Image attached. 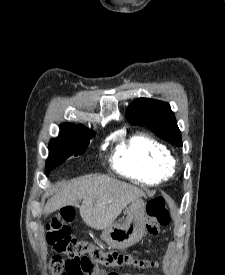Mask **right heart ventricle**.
Listing matches in <instances>:
<instances>
[{"label":"right heart ventricle","mask_w":225,"mask_h":275,"mask_svg":"<svg viewBox=\"0 0 225 275\" xmlns=\"http://www.w3.org/2000/svg\"><path fill=\"white\" fill-rule=\"evenodd\" d=\"M111 164L120 175L145 185L161 183L174 173L173 159L168 148L141 132L118 142Z\"/></svg>","instance_id":"right-heart-ventricle-1"}]
</instances>
